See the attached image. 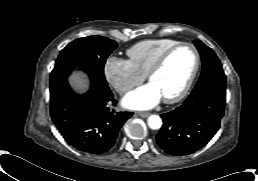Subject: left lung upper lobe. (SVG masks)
I'll use <instances>...</instances> for the list:
<instances>
[{
    "mask_svg": "<svg viewBox=\"0 0 258 181\" xmlns=\"http://www.w3.org/2000/svg\"><path fill=\"white\" fill-rule=\"evenodd\" d=\"M193 42L202 58V73L194 90H198L209 83H225L226 76L214 51L199 40Z\"/></svg>",
    "mask_w": 258,
    "mask_h": 181,
    "instance_id": "left-lung-upper-lobe-1",
    "label": "left lung upper lobe"
}]
</instances>
